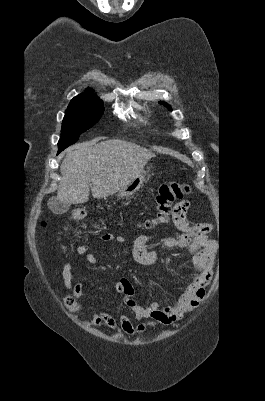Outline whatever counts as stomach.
Listing matches in <instances>:
<instances>
[{
	"instance_id": "0dacf381",
	"label": "stomach",
	"mask_w": 265,
	"mask_h": 401,
	"mask_svg": "<svg viewBox=\"0 0 265 401\" xmlns=\"http://www.w3.org/2000/svg\"><path fill=\"white\" fill-rule=\"evenodd\" d=\"M147 174V170H140L138 174H136L135 178L131 180V182H128V184H125L123 188H120V190H117L116 196H120V198H128V196H132V194H135L137 190H139L140 186H142L145 176Z\"/></svg>"
}]
</instances>
